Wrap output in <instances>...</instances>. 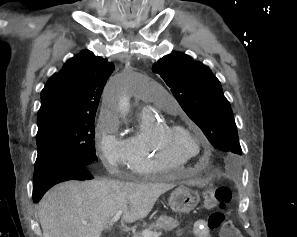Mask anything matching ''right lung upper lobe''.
I'll use <instances>...</instances> for the list:
<instances>
[{"instance_id":"right-lung-upper-lobe-1","label":"right lung upper lobe","mask_w":297,"mask_h":237,"mask_svg":"<svg viewBox=\"0 0 297 237\" xmlns=\"http://www.w3.org/2000/svg\"><path fill=\"white\" fill-rule=\"evenodd\" d=\"M114 70L107 59L83 51L50 77L41 92L37 123L55 117L95 116L103 87Z\"/></svg>"}]
</instances>
